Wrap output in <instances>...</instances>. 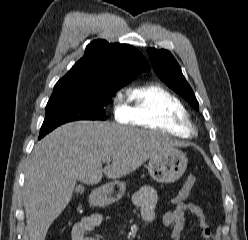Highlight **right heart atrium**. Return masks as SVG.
Here are the masks:
<instances>
[{
    "label": "right heart atrium",
    "instance_id": "obj_1",
    "mask_svg": "<svg viewBox=\"0 0 248 240\" xmlns=\"http://www.w3.org/2000/svg\"><path fill=\"white\" fill-rule=\"evenodd\" d=\"M112 111L114 117L121 122H127L129 118L128 108L123 102L122 92L116 91L112 97Z\"/></svg>",
    "mask_w": 248,
    "mask_h": 240
}]
</instances>
